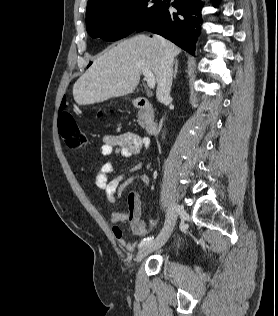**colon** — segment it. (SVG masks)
Instances as JSON below:
<instances>
[{
  "mask_svg": "<svg viewBox=\"0 0 278 316\" xmlns=\"http://www.w3.org/2000/svg\"><path fill=\"white\" fill-rule=\"evenodd\" d=\"M58 123L59 132L68 148L78 150L87 146L88 139L71 114L61 112Z\"/></svg>",
  "mask_w": 278,
  "mask_h": 316,
  "instance_id": "obj_1",
  "label": "colon"
}]
</instances>
